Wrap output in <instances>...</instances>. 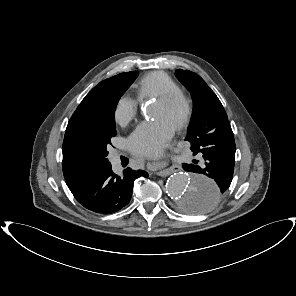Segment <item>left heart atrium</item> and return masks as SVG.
I'll list each match as a JSON object with an SVG mask.
<instances>
[{
	"label": "left heart atrium",
	"instance_id": "left-heart-atrium-1",
	"mask_svg": "<svg viewBox=\"0 0 296 296\" xmlns=\"http://www.w3.org/2000/svg\"><path fill=\"white\" fill-rule=\"evenodd\" d=\"M174 128L160 118H154L138 125L129 135L130 151L138 156L154 157L170 142Z\"/></svg>",
	"mask_w": 296,
	"mask_h": 296
}]
</instances>
